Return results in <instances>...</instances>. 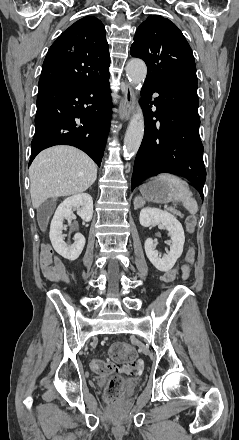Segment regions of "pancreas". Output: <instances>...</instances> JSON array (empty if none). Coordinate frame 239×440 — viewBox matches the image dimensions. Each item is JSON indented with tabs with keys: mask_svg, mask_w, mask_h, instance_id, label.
I'll return each instance as SVG.
<instances>
[{
	"mask_svg": "<svg viewBox=\"0 0 239 440\" xmlns=\"http://www.w3.org/2000/svg\"><path fill=\"white\" fill-rule=\"evenodd\" d=\"M172 214H176V216H180V218H183V214L181 212H178V210H171Z\"/></svg>",
	"mask_w": 239,
	"mask_h": 440,
	"instance_id": "pancreas-1",
	"label": "pancreas"
}]
</instances>
